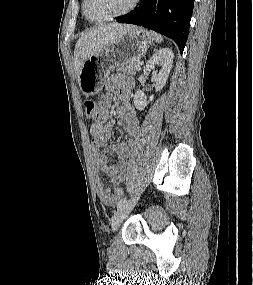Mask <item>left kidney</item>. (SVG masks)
<instances>
[{
	"mask_svg": "<svg viewBox=\"0 0 253 285\" xmlns=\"http://www.w3.org/2000/svg\"><path fill=\"white\" fill-rule=\"evenodd\" d=\"M174 54L170 48H162L156 51L144 67V74H149L152 71V76L155 78V90L160 91L168 79L169 73L172 68ZM161 69L159 72L155 71V66ZM152 95L149 100L144 95V92L138 89L134 95V106L138 110H144L150 101H153Z\"/></svg>",
	"mask_w": 253,
	"mask_h": 285,
	"instance_id": "1",
	"label": "left kidney"
}]
</instances>
